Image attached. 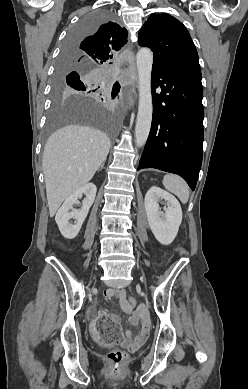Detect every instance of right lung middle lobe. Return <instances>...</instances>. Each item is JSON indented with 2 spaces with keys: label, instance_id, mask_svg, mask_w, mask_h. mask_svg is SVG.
Instances as JSON below:
<instances>
[{
  "label": "right lung middle lobe",
  "instance_id": "1",
  "mask_svg": "<svg viewBox=\"0 0 248 389\" xmlns=\"http://www.w3.org/2000/svg\"><path fill=\"white\" fill-rule=\"evenodd\" d=\"M111 17V12L107 10H98L83 16L79 24L70 32L63 50L68 49L76 41L94 33L101 24L108 22ZM62 64L63 59H59L58 75L54 83L52 108L46 135L49 136L55 129L69 124H91L101 128L110 137H113L114 122L111 116L97 105L74 94L73 89L83 93H93L97 90L93 89L92 86L94 85L91 84L94 79L92 76L93 69L75 64L61 67ZM73 72H78L79 76L72 78L71 74ZM65 77L69 86L65 84ZM117 93L118 91L113 88L112 98Z\"/></svg>",
  "mask_w": 248,
  "mask_h": 389
}]
</instances>
